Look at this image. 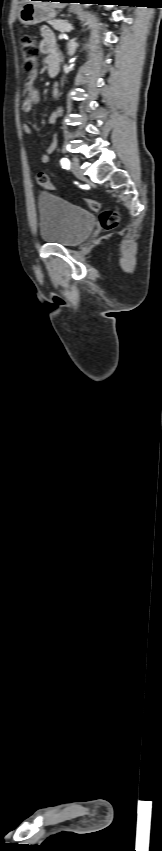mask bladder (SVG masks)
<instances>
[{"label":"bladder","mask_w":162,"mask_h":851,"mask_svg":"<svg viewBox=\"0 0 162 851\" xmlns=\"http://www.w3.org/2000/svg\"><path fill=\"white\" fill-rule=\"evenodd\" d=\"M37 208L39 233L45 243L76 246L94 228L95 217L91 212L49 191L39 194Z\"/></svg>","instance_id":"bladder-1"}]
</instances>
